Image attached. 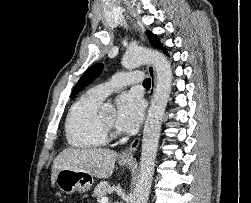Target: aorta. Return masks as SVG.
<instances>
[{
	"label": "aorta",
	"mask_w": 251,
	"mask_h": 203,
	"mask_svg": "<svg viewBox=\"0 0 251 203\" xmlns=\"http://www.w3.org/2000/svg\"><path fill=\"white\" fill-rule=\"evenodd\" d=\"M146 63L153 64L157 73V82L144 125L140 172L131 203H147L160 138L161 121L170 97L173 80L170 62L158 51L137 48L128 51L122 59V65L128 69Z\"/></svg>",
	"instance_id": "aorta-1"
}]
</instances>
